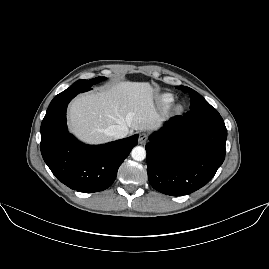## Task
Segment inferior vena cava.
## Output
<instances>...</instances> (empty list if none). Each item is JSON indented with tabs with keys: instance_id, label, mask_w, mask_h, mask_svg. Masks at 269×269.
<instances>
[{
	"instance_id": "1",
	"label": "inferior vena cava",
	"mask_w": 269,
	"mask_h": 269,
	"mask_svg": "<svg viewBox=\"0 0 269 269\" xmlns=\"http://www.w3.org/2000/svg\"><path fill=\"white\" fill-rule=\"evenodd\" d=\"M128 132L129 130L126 125H112L105 129V134L114 139L124 138L128 135Z\"/></svg>"
}]
</instances>
